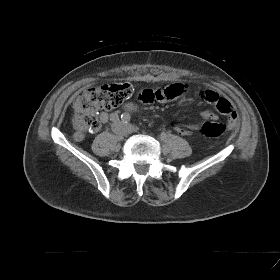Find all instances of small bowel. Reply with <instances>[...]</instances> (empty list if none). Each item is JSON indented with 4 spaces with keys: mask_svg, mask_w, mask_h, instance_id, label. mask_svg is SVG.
<instances>
[{
    "mask_svg": "<svg viewBox=\"0 0 280 280\" xmlns=\"http://www.w3.org/2000/svg\"><path fill=\"white\" fill-rule=\"evenodd\" d=\"M187 91V86L182 83H173L164 88L160 89H144L139 95L138 99L140 102L145 104L152 103H164L171 100H175ZM200 97L208 104L214 105L217 111L228 117V127L235 128L238 124V116L233 105L225 98L221 97L216 91L206 89L200 92ZM202 117L206 120H216L217 115L209 110L204 109L201 112ZM109 119V115L106 112H102L99 116L101 123H106ZM76 131L74 138L77 141H82L85 137L84 127L81 125L79 118L74 121ZM174 129L181 135H189L192 130H197L199 124L185 125L180 121L173 123Z\"/></svg>",
    "mask_w": 280,
    "mask_h": 280,
    "instance_id": "c3829d8e",
    "label": "small bowel"
}]
</instances>
